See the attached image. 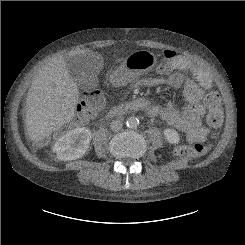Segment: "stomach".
Here are the masks:
<instances>
[{
  "label": "stomach",
  "instance_id": "1",
  "mask_svg": "<svg viewBox=\"0 0 245 245\" xmlns=\"http://www.w3.org/2000/svg\"><path fill=\"white\" fill-rule=\"evenodd\" d=\"M157 63L155 54L141 50L130 54L118 69L112 74V82L125 85L140 75L151 71Z\"/></svg>",
  "mask_w": 245,
  "mask_h": 245
}]
</instances>
